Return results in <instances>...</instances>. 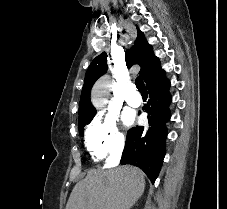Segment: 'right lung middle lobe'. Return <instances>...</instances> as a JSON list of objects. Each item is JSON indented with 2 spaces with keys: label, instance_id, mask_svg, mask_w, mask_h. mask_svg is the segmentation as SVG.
<instances>
[{
  "label": "right lung middle lobe",
  "instance_id": "right-lung-middle-lobe-1",
  "mask_svg": "<svg viewBox=\"0 0 227 209\" xmlns=\"http://www.w3.org/2000/svg\"><path fill=\"white\" fill-rule=\"evenodd\" d=\"M93 117L94 116H87V117H80L79 118L78 128H79L81 135H83L84 127L91 122Z\"/></svg>",
  "mask_w": 227,
  "mask_h": 209
}]
</instances>
